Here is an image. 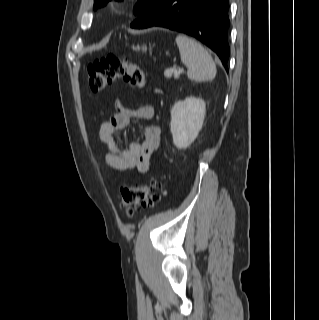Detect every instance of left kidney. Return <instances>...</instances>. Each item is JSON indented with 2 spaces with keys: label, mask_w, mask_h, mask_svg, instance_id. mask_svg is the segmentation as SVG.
<instances>
[{
  "label": "left kidney",
  "mask_w": 319,
  "mask_h": 320,
  "mask_svg": "<svg viewBox=\"0 0 319 320\" xmlns=\"http://www.w3.org/2000/svg\"><path fill=\"white\" fill-rule=\"evenodd\" d=\"M206 113L205 101L187 97L178 101L171 110L170 130L173 143L178 149H185L197 138Z\"/></svg>",
  "instance_id": "obj_1"
}]
</instances>
